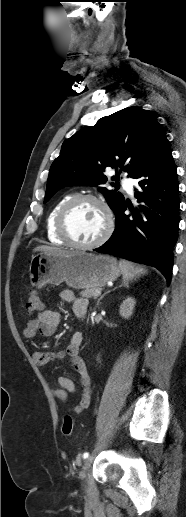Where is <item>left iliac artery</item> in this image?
<instances>
[{
    "label": "left iliac artery",
    "mask_w": 186,
    "mask_h": 517,
    "mask_svg": "<svg viewBox=\"0 0 186 517\" xmlns=\"http://www.w3.org/2000/svg\"><path fill=\"white\" fill-rule=\"evenodd\" d=\"M88 457H89V453H88V452H85V453L83 454V458H84V459H86V458H88Z\"/></svg>",
    "instance_id": "1"
}]
</instances>
